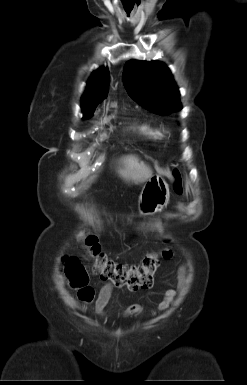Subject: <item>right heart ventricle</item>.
Masks as SVG:
<instances>
[{
  "label": "right heart ventricle",
  "mask_w": 247,
  "mask_h": 385,
  "mask_svg": "<svg viewBox=\"0 0 247 385\" xmlns=\"http://www.w3.org/2000/svg\"><path fill=\"white\" fill-rule=\"evenodd\" d=\"M135 129L147 136L148 138H151V139H159L161 137V133L158 129L150 126V125H139V126H136Z\"/></svg>",
  "instance_id": "right-heart-ventricle-1"
}]
</instances>
